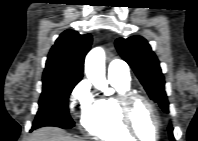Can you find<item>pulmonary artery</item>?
I'll list each match as a JSON object with an SVG mask.
<instances>
[{
  "label": "pulmonary artery",
  "instance_id": "pulmonary-artery-1",
  "mask_svg": "<svg viewBox=\"0 0 198 141\" xmlns=\"http://www.w3.org/2000/svg\"><path fill=\"white\" fill-rule=\"evenodd\" d=\"M108 78L109 80H118L122 82H129L130 75L126 65L118 60H114L108 67Z\"/></svg>",
  "mask_w": 198,
  "mask_h": 141
}]
</instances>
